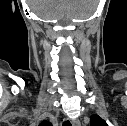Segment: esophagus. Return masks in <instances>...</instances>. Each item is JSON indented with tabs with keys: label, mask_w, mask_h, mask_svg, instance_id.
I'll return each mask as SVG.
<instances>
[{
	"label": "esophagus",
	"mask_w": 127,
	"mask_h": 126,
	"mask_svg": "<svg viewBox=\"0 0 127 126\" xmlns=\"http://www.w3.org/2000/svg\"><path fill=\"white\" fill-rule=\"evenodd\" d=\"M72 125L73 126H79L80 125V122L78 120H74V121H72Z\"/></svg>",
	"instance_id": "1"
}]
</instances>
